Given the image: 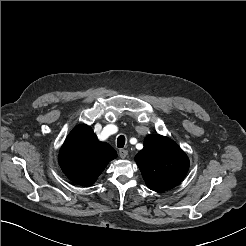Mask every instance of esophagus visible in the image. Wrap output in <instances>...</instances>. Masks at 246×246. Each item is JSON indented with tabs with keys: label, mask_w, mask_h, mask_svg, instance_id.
<instances>
[{
	"label": "esophagus",
	"mask_w": 246,
	"mask_h": 246,
	"mask_svg": "<svg viewBox=\"0 0 246 246\" xmlns=\"http://www.w3.org/2000/svg\"><path fill=\"white\" fill-rule=\"evenodd\" d=\"M119 156H120V158H122V159L126 158V157L128 156V151L125 150V149H120V150H119Z\"/></svg>",
	"instance_id": "34e87169"
}]
</instances>
